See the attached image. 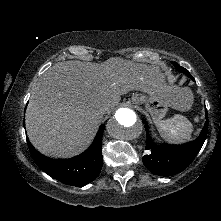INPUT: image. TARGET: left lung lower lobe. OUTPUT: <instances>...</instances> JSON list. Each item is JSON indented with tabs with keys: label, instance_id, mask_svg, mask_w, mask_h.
I'll return each instance as SVG.
<instances>
[{
	"label": "left lung lower lobe",
	"instance_id": "0a47b994",
	"mask_svg": "<svg viewBox=\"0 0 221 221\" xmlns=\"http://www.w3.org/2000/svg\"><path fill=\"white\" fill-rule=\"evenodd\" d=\"M183 73L194 81V78L186 69L183 70ZM143 123L145 124L147 137L146 150H149V154L145 155L142 160L149 171L160 176L175 175L187 168L200 151L208 130V116L206 114V123L196 140L183 145H169L166 143L155 145L149 136L146 121L144 120Z\"/></svg>",
	"mask_w": 221,
	"mask_h": 221
}]
</instances>
